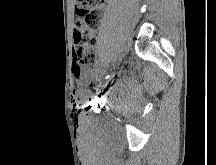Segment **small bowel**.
<instances>
[{"mask_svg": "<svg viewBox=\"0 0 216 165\" xmlns=\"http://www.w3.org/2000/svg\"><path fill=\"white\" fill-rule=\"evenodd\" d=\"M72 72L76 80H80L84 75V71L82 67L76 61H74L73 63Z\"/></svg>", "mask_w": 216, "mask_h": 165, "instance_id": "small-bowel-1", "label": "small bowel"}]
</instances>
